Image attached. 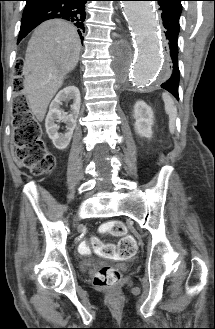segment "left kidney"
I'll return each instance as SVG.
<instances>
[{
    "mask_svg": "<svg viewBox=\"0 0 215 329\" xmlns=\"http://www.w3.org/2000/svg\"><path fill=\"white\" fill-rule=\"evenodd\" d=\"M133 117L135 119V131L141 137H152L153 111L144 101L135 103Z\"/></svg>",
    "mask_w": 215,
    "mask_h": 329,
    "instance_id": "5707ae66",
    "label": "left kidney"
}]
</instances>
